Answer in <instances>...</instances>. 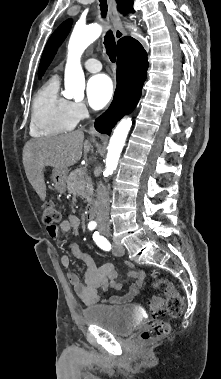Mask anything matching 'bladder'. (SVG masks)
Instances as JSON below:
<instances>
[{
	"label": "bladder",
	"instance_id": "obj_1",
	"mask_svg": "<svg viewBox=\"0 0 221 379\" xmlns=\"http://www.w3.org/2000/svg\"><path fill=\"white\" fill-rule=\"evenodd\" d=\"M87 324L104 328L118 336L130 334L139 324L140 318L131 306L98 305L83 311Z\"/></svg>",
	"mask_w": 221,
	"mask_h": 379
}]
</instances>
